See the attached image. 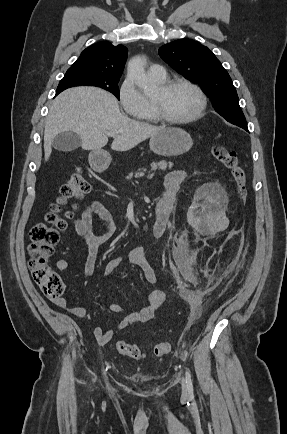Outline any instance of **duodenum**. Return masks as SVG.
I'll return each instance as SVG.
<instances>
[{"label":"duodenum","instance_id":"duodenum-1","mask_svg":"<svg viewBox=\"0 0 287 434\" xmlns=\"http://www.w3.org/2000/svg\"><path fill=\"white\" fill-rule=\"evenodd\" d=\"M93 163L98 167V168H102L104 166L107 165V160L105 158L102 157H94L93 158ZM162 211L161 209H159V214H161Z\"/></svg>","mask_w":287,"mask_h":434}]
</instances>
